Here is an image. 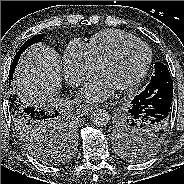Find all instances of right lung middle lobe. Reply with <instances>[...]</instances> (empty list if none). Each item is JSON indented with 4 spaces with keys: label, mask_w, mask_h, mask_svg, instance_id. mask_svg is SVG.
Listing matches in <instances>:
<instances>
[{
    "label": "right lung middle lobe",
    "mask_w": 184,
    "mask_h": 184,
    "mask_svg": "<svg viewBox=\"0 0 184 184\" xmlns=\"http://www.w3.org/2000/svg\"><path fill=\"white\" fill-rule=\"evenodd\" d=\"M44 34H38L27 40L16 53L9 71V84L20 55L34 43L40 42ZM10 108L16 129L27 150L43 163H55L60 158L57 148L72 146L73 132L68 127L66 117L60 110L43 111L39 105H28L19 96L10 98ZM64 148V147H63Z\"/></svg>",
    "instance_id": "right-lung-middle-lobe-1"
}]
</instances>
